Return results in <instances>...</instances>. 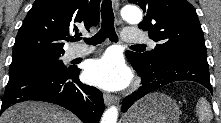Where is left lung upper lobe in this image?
I'll return each instance as SVG.
<instances>
[{"mask_svg": "<svg viewBox=\"0 0 221 123\" xmlns=\"http://www.w3.org/2000/svg\"><path fill=\"white\" fill-rule=\"evenodd\" d=\"M139 5L145 17L138 25L158 42L154 50L126 52L127 58L150 65L178 57L207 60L203 31L195 8L186 0H128Z\"/></svg>", "mask_w": 221, "mask_h": 123, "instance_id": "obj_1", "label": "left lung upper lobe"}]
</instances>
